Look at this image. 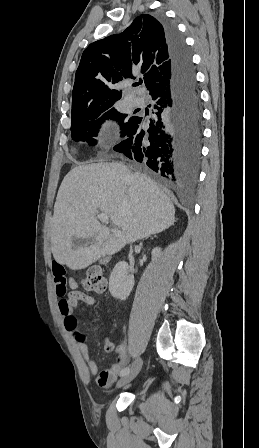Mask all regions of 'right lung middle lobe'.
Returning a JSON list of instances; mask_svg holds the SVG:
<instances>
[{
	"instance_id": "right-lung-middle-lobe-1",
	"label": "right lung middle lobe",
	"mask_w": 259,
	"mask_h": 448,
	"mask_svg": "<svg viewBox=\"0 0 259 448\" xmlns=\"http://www.w3.org/2000/svg\"><path fill=\"white\" fill-rule=\"evenodd\" d=\"M112 106H99L71 113V137L75 141H86L89 145H94L97 142L94 137L98 135L102 122L109 118L118 122L120 136L123 137L135 116L128 117V114L120 113Z\"/></svg>"
}]
</instances>
